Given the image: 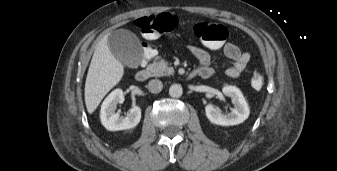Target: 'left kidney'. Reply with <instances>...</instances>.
<instances>
[{"mask_svg": "<svg viewBox=\"0 0 337 171\" xmlns=\"http://www.w3.org/2000/svg\"><path fill=\"white\" fill-rule=\"evenodd\" d=\"M222 91L231 98L234 108L231 109L230 113L224 114L212 104L206 105L205 112L210 122L222 126H231L245 121L250 110L242 92L235 86H225Z\"/></svg>", "mask_w": 337, "mask_h": 171, "instance_id": "1", "label": "left kidney"}]
</instances>
